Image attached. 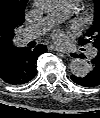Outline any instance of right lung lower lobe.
Returning <instances> with one entry per match:
<instances>
[{"label":"right lung lower lobe","instance_id":"1","mask_svg":"<svg viewBox=\"0 0 100 118\" xmlns=\"http://www.w3.org/2000/svg\"><path fill=\"white\" fill-rule=\"evenodd\" d=\"M46 46L38 44L33 50L28 47L16 48L0 56V78L8 84L20 85L32 80L36 75V62Z\"/></svg>","mask_w":100,"mask_h":118}]
</instances>
